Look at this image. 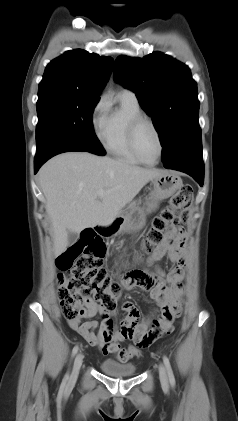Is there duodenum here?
Listing matches in <instances>:
<instances>
[{"label":"duodenum","instance_id":"duodenum-1","mask_svg":"<svg viewBox=\"0 0 238 421\" xmlns=\"http://www.w3.org/2000/svg\"><path fill=\"white\" fill-rule=\"evenodd\" d=\"M108 227H105V226H97V227H95V231L98 233V234H101V235H103L104 233H106L107 231H108ZM92 232H94L93 230H91Z\"/></svg>","mask_w":238,"mask_h":421}]
</instances>
